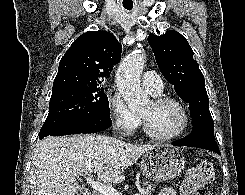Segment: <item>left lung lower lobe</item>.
Wrapping results in <instances>:
<instances>
[{
  "label": "left lung lower lobe",
  "instance_id": "left-lung-lower-lobe-1",
  "mask_svg": "<svg viewBox=\"0 0 245 195\" xmlns=\"http://www.w3.org/2000/svg\"><path fill=\"white\" fill-rule=\"evenodd\" d=\"M175 146L197 147L220 154L215 137L203 131H194L188 136L172 143Z\"/></svg>",
  "mask_w": 245,
  "mask_h": 195
}]
</instances>
